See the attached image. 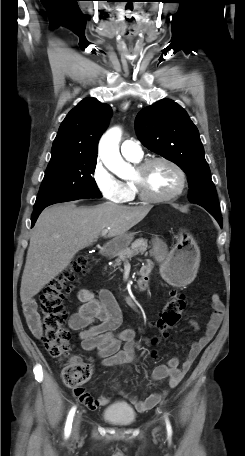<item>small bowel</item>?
<instances>
[{
  "label": "small bowel",
  "instance_id": "c3829d8e",
  "mask_svg": "<svg viewBox=\"0 0 245 456\" xmlns=\"http://www.w3.org/2000/svg\"><path fill=\"white\" fill-rule=\"evenodd\" d=\"M152 265L149 263L142 269V277L146 278L151 272ZM81 305L70 317L69 326L79 331V340L83 349L96 351L102 359V365L109 367L114 365L127 366L135 359L136 331L128 328L117 331L122 322L121 310L112 295L107 289H102L97 295L89 289H80L77 294ZM213 312L207 323L204 334L197 340L191 342L187 358L180 366L177 357L171 358L166 365H158L153 369L152 377L155 381L167 378L170 388H175L181 382L192 364L211 341L217 332L224 314V304L216 293L211 295ZM24 316L31 332L36 337H41L42 329L37 305L34 300L24 304ZM195 330L199 327L195 321H191ZM116 391L127 397L131 404L140 411L154 407L166 395L167 391H156L146 399L141 400L137 396L123 391L119 384L115 385ZM75 396L89 409H97L107 405L111 401L110 395H101L93 398L84 388L74 389Z\"/></svg>",
  "mask_w": 245,
  "mask_h": 456
}]
</instances>
